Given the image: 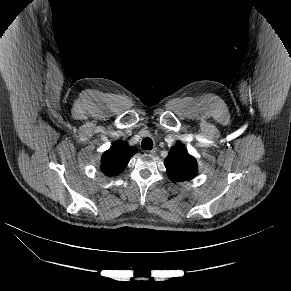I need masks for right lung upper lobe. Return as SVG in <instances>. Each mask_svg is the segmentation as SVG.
I'll return each instance as SVG.
<instances>
[{
  "label": "right lung upper lobe",
  "instance_id": "right-lung-upper-lobe-1",
  "mask_svg": "<svg viewBox=\"0 0 291 291\" xmlns=\"http://www.w3.org/2000/svg\"><path fill=\"white\" fill-rule=\"evenodd\" d=\"M135 153L136 148L130 147L122 140H118L109 150L103 153L101 171L109 177L120 174Z\"/></svg>",
  "mask_w": 291,
  "mask_h": 291
}]
</instances>
